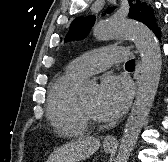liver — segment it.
Instances as JSON below:
<instances>
[{
	"mask_svg": "<svg viewBox=\"0 0 168 162\" xmlns=\"http://www.w3.org/2000/svg\"><path fill=\"white\" fill-rule=\"evenodd\" d=\"M99 147L98 138H81L55 149L46 162H79L93 155Z\"/></svg>",
	"mask_w": 168,
	"mask_h": 162,
	"instance_id": "liver-1",
	"label": "liver"
}]
</instances>
